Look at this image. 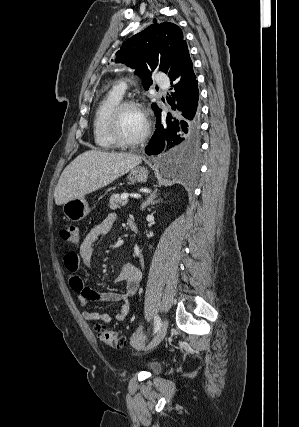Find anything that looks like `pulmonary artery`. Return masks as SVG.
Segmentation results:
<instances>
[{
  "label": "pulmonary artery",
  "mask_w": 299,
  "mask_h": 427,
  "mask_svg": "<svg viewBox=\"0 0 299 427\" xmlns=\"http://www.w3.org/2000/svg\"><path fill=\"white\" fill-rule=\"evenodd\" d=\"M158 83L163 86V87H167L168 86V80L165 77L164 74L159 73L158 74V78H157ZM113 90L116 91L117 93H119L120 95L123 96V94L125 93V91L127 90V83L125 80H120L118 81L114 87Z\"/></svg>",
  "instance_id": "pulmonary-artery-1"
}]
</instances>
